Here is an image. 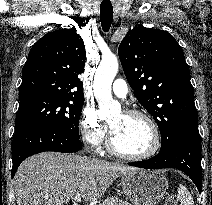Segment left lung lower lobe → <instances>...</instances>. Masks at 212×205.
<instances>
[{"label": "left lung lower lobe", "mask_w": 212, "mask_h": 205, "mask_svg": "<svg viewBox=\"0 0 212 205\" xmlns=\"http://www.w3.org/2000/svg\"><path fill=\"white\" fill-rule=\"evenodd\" d=\"M146 169L176 168L186 173L202 191L201 141L198 122L183 128L175 140L156 156L139 162L128 163Z\"/></svg>", "instance_id": "left-lung-lower-lobe-1"}]
</instances>
